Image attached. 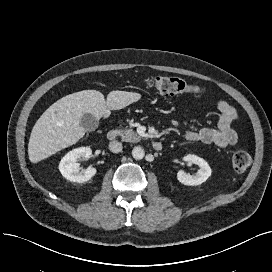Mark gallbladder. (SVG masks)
Segmentation results:
<instances>
[{
	"label": "gallbladder",
	"mask_w": 272,
	"mask_h": 272,
	"mask_svg": "<svg viewBox=\"0 0 272 272\" xmlns=\"http://www.w3.org/2000/svg\"><path fill=\"white\" fill-rule=\"evenodd\" d=\"M81 126L85 129V131H94L98 127V120L89 113L83 114L81 118Z\"/></svg>",
	"instance_id": "1"
}]
</instances>
